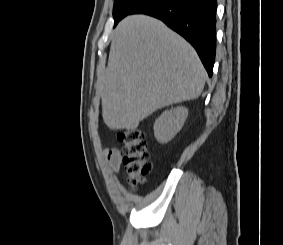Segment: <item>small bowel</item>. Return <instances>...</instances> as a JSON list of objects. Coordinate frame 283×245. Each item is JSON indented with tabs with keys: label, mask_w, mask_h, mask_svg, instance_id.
Wrapping results in <instances>:
<instances>
[{
	"label": "small bowel",
	"mask_w": 283,
	"mask_h": 245,
	"mask_svg": "<svg viewBox=\"0 0 283 245\" xmlns=\"http://www.w3.org/2000/svg\"><path fill=\"white\" fill-rule=\"evenodd\" d=\"M105 158L107 166L111 172H116L121 163V152L117 148H110L105 150Z\"/></svg>",
	"instance_id": "1"
}]
</instances>
